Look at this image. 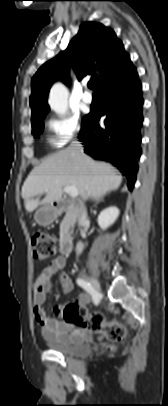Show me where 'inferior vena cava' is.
<instances>
[{
    "label": "inferior vena cava",
    "instance_id": "1",
    "mask_svg": "<svg viewBox=\"0 0 168 406\" xmlns=\"http://www.w3.org/2000/svg\"><path fill=\"white\" fill-rule=\"evenodd\" d=\"M70 149L79 156L83 155V147L79 141H73L70 145ZM86 220H87V211L86 208L83 207L81 214L78 218L79 226H82Z\"/></svg>",
    "mask_w": 168,
    "mask_h": 406
}]
</instances>
